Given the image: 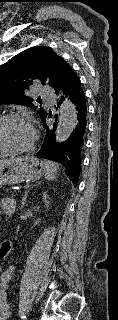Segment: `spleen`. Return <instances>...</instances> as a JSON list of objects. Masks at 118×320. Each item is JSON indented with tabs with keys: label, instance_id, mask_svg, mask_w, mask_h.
<instances>
[{
	"label": "spleen",
	"instance_id": "1",
	"mask_svg": "<svg viewBox=\"0 0 118 320\" xmlns=\"http://www.w3.org/2000/svg\"><path fill=\"white\" fill-rule=\"evenodd\" d=\"M43 163L46 169L45 178L49 181L56 179L59 171L58 164L48 160H44Z\"/></svg>",
	"mask_w": 118,
	"mask_h": 320
}]
</instances>
